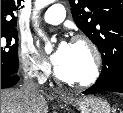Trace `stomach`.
<instances>
[{
  "mask_svg": "<svg viewBox=\"0 0 123 113\" xmlns=\"http://www.w3.org/2000/svg\"><path fill=\"white\" fill-rule=\"evenodd\" d=\"M59 99L69 103L80 111V113H110V105L103 99L94 96L73 98L67 95H60Z\"/></svg>",
  "mask_w": 123,
  "mask_h": 113,
  "instance_id": "stomach-1",
  "label": "stomach"
}]
</instances>
